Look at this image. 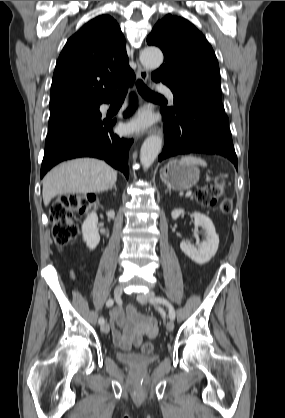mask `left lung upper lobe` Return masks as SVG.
<instances>
[{
	"instance_id": "obj_1",
	"label": "left lung upper lobe",
	"mask_w": 285,
	"mask_h": 418,
	"mask_svg": "<svg viewBox=\"0 0 285 418\" xmlns=\"http://www.w3.org/2000/svg\"><path fill=\"white\" fill-rule=\"evenodd\" d=\"M147 43L161 48L165 60L152 79L166 84L174 95V107L161 111L173 115L186 106L202 105L224 112L217 58L192 23L167 14L156 23Z\"/></svg>"
}]
</instances>
